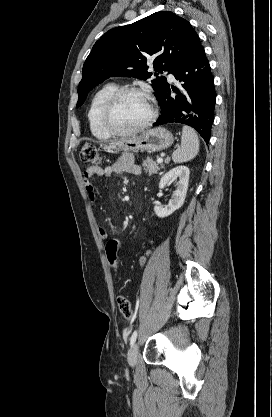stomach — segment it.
<instances>
[{
  "label": "stomach",
  "instance_id": "1",
  "mask_svg": "<svg viewBox=\"0 0 272 417\" xmlns=\"http://www.w3.org/2000/svg\"><path fill=\"white\" fill-rule=\"evenodd\" d=\"M173 141L174 138L170 131L164 127H156L148 129L140 135L109 143L104 149L109 153H117L119 151L159 152L169 148Z\"/></svg>",
  "mask_w": 272,
  "mask_h": 417
}]
</instances>
